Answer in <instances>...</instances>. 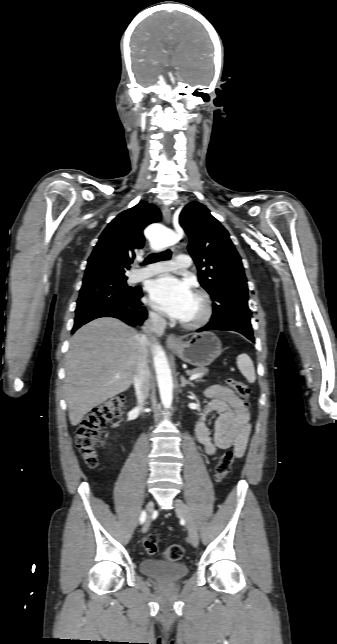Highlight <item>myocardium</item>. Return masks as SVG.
Returning a JSON list of instances; mask_svg holds the SVG:
<instances>
[{
    "label": "myocardium",
    "mask_w": 337,
    "mask_h": 644,
    "mask_svg": "<svg viewBox=\"0 0 337 644\" xmlns=\"http://www.w3.org/2000/svg\"><path fill=\"white\" fill-rule=\"evenodd\" d=\"M194 296L201 304V311L196 318L182 320L180 322L183 327L188 329H197L205 326L213 316V303L208 292L203 289H198L195 291Z\"/></svg>",
    "instance_id": "myocardium-1"
}]
</instances>
